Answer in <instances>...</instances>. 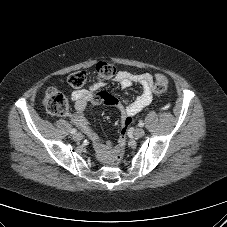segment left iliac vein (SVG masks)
I'll return each instance as SVG.
<instances>
[{
  "mask_svg": "<svg viewBox=\"0 0 227 227\" xmlns=\"http://www.w3.org/2000/svg\"><path fill=\"white\" fill-rule=\"evenodd\" d=\"M134 135L137 138H141L145 135V131L141 128H138V129L135 130Z\"/></svg>",
  "mask_w": 227,
  "mask_h": 227,
  "instance_id": "4c4485c4",
  "label": "left iliac vein"
}]
</instances>
